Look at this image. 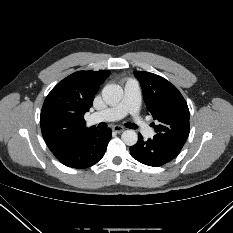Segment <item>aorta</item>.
<instances>
[{
    "label": "aorta",
    "mask_w": 233,
    "mask_h": 233,
    "mask_svg": "<svg viewBox=\"0 0 233 233\" xmlns=\"http://www.w3.org/2000/svg\"><path fill=\"white\" fill-rule=\"evenodd\" d=\"M123 96V89L116 84H108L102 90V98L105 103L109 105H116L120 102ZM122 141L128 145L133 146L138 141V135L134 130H126L121 135Z\"/></svg>",
    "instance_id": "1"
}]
</instances>
